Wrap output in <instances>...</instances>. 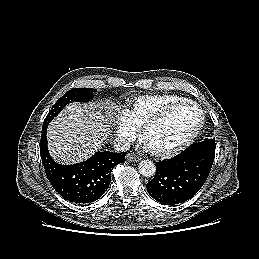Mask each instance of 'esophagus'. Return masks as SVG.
Instances as JSON below:
<instances>
[{
  "mask_svg": "<svg viewBox=\"0 0 259 259\" xmlns=\"http://www.w3.org/2000/svg\"><path fill=\"white\" fill-rule=\"evenodd\" d=\"M126 159L131 162H138L141 158L134 153H128Z\"/></svg>",
  "mask_w": 259,
  "mask_h": 259,
  "instance_id": "esophagus-1",
  "label": "esophagus"
}]
</instances>
